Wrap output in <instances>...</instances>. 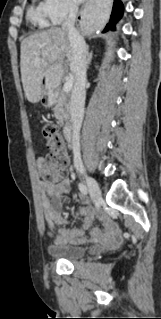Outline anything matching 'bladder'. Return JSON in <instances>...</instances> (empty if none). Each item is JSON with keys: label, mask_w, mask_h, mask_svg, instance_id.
I'll return each mask as SVG.
<instances>
[{"label": "bladder", "mask_w": 161, "mask_h": 319, "mask_svg": "<svg viewBox=\"0 0 161 319\" xmlns=\"http://www.w3.org/2000/svg\"><path fill=\"white\" fill-rule=\"evenodd\" d=\"M49 256L61 260H75L84 254V249L77 244L54 242L47 247Z\"/></svg>", "instance_id": "1"}]
</instances>
